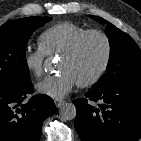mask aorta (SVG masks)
Listing matches in <instances>:
<instances>
[{"instance_id": "1", "label": "aorta", "mask_w": 141, "mask_h": 141, "mask_svg": "<svg viewBox=\"0 0 141 141\" xmlns=\"http://www.w3.org/2000/svg\"><path fill=\"white\" fill-rule=\"evenodd\" d=\"M48 62H45L47 67ZM59 114L63 120H73L76 117V107L73 103H64L60 107Z\"/></svg>"}]
</instances>
